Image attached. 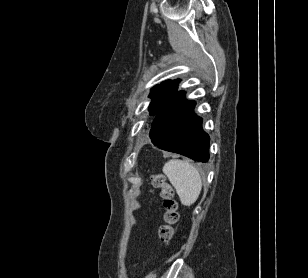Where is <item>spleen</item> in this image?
Returning <instances> with one entry per match:
<instances>
[{
	"mask_svg": "<svg viewBox=\"0 0 308 278\" xmlns=\"http://www.w3.org/2000/svg\"><path fill=\"white\" fill-rule=\"evenodd\" d=\"M163 172L185 206H190L198 199L202 180L197 168L187 161L172 159L163 166Z\"/></svg>",
	"mask_w": 308,
	"mask_h": 278,
	"instance_id": "1",
	"label": "spleen"
}]
</instances>
